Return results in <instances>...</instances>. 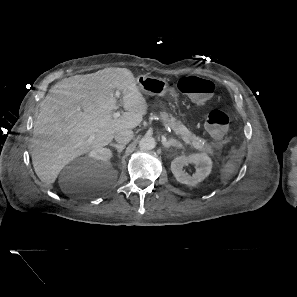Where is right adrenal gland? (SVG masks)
Segmentation results:
<instances>
[{"mask_svg":"<svg viewBox=\"0 0 297 297\" xmlns=\"http://www.w3.org/2000/svg\"><path fill=\"white\" fill-rule=\"evenodd\" d=\"M110 146L116 148L118 153H121L125 148V145H119L115 143H111Z\"/></svg>","mask_w":297,"mask_h":297,"instance_id":"right-adrenal-gland-1","label":"right adrenal gland"}]
</instances>
